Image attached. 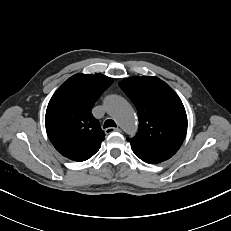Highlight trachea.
Returning <instances> with one entry per match:
<instances>
[{"mask_svg":"<svg viewBox=\"0 0 231 231\" xmlns=\"http://www.w3.org/2000/svg\"><path fill=\"white\" fill-rule=\"evenodd\" d=\"M116 123L112 119H107L104 123V128L116 127Z\"/></svg>","mask_w":231,"mask_h":231,"instance_id":"3493384b","label":"trachea"}]
</instances>
